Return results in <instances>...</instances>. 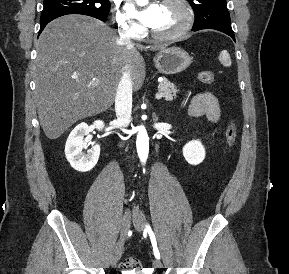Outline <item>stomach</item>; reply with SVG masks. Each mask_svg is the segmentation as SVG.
<instances>
[{"mask_svg":"<svg viewBox=\"0 0 289 274\" xmlns=\"http://www.w3.org/2000/svg\"><path fill=\"white\" fill-rule=\"evenodd\" d=\"M155 67L163 74H177L188 68L192 62L190 55L179 47L161 49L154 57Z\"/></svg>","mask_w":289,"mask_h":274,"instance_id":"1","label":"stomach"}]
</instances>
